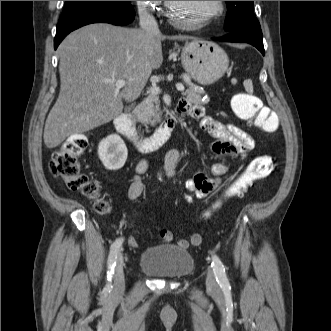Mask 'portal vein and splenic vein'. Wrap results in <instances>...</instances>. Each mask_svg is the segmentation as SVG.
Here are the masks:
<instances>
[{
	"mask_svg": "<svg viewBox=\"0 0 331 331\" xmlns=\"http://www.w3.org/2000/svg\"><path fill=\"white\" fill-rule=\"evenodd\" d=\"M112 82H115V86L116 88L120 89V88H123L125 85H126V82L124 80H116V81H112ZM176 88L178 91H181L183 92L185 90L183 84L181 83H177L176 84ZM152 94H158L160 93V88L157 87L156 85H153L150 90H149Z\"/></svg>",
	"mask_w": 331,
	"mask_h": 331,
	"instance_id": "obj_1",
	"label": "portal vein and splenic vein"
}]
</instances>
